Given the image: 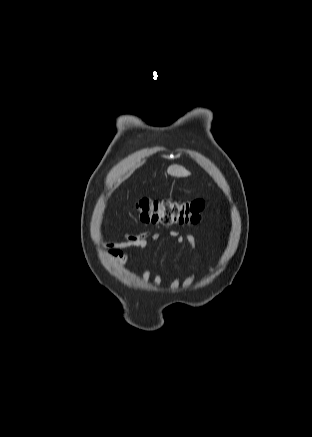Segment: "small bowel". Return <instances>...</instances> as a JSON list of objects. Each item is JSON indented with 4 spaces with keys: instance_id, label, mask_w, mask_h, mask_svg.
I'll return each mask as SVG.
<instances>
[{
    "instance_id": "small-bowel-1",
    "label": "small bowel",
    "mask_w": 312,
    "mask_h": 437,
    "mask_svg": "<svg viewBox=\"0 0 312 437\" xmlns=\"http://www.w3.org/2000/svg\"><path fill=\"white\" fill-rule=\"evenodd\" d=\"M172 237L177 238V243L182 244L185 240L192 241L191 235L186 237L180 236L177 231H170ZM149 239L156 242L160 239V234L157 232H141L135 235H126V240L123 242H108L105 244L108 255L113 261L124 265L128 260L133 250H143L149 246ZM191 284V279H185L180 283L182 287H187Z\"/></svg>"
}]
</instances>
